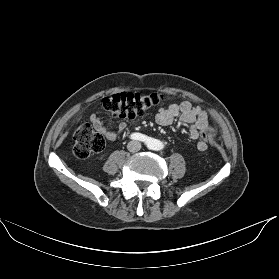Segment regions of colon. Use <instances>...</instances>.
<instances>
[{
    "instance_id": "obj_1",
    "label": "colon",
    "mask_w": 279,
    "mask_h": 279,
    "mask_svg": "<svg viewBox=\"0 0 279 279\" xmlns=\"http://www.w3.org/2000/svg\"><path fill=\"white\" fill-rule=\"evenodd\" d=\"M164 99L165 97L158 93L121 92L105 97L103 106L115 117L134 119L144 115ZM212 131V128H208L203 134V139L206 142ZM72 137L74 141L73 153L77 158H87L104 148L102 135L94 130L90 123L82 122L78 124L72 132Z\"/></svg>"
}]
</instances>
